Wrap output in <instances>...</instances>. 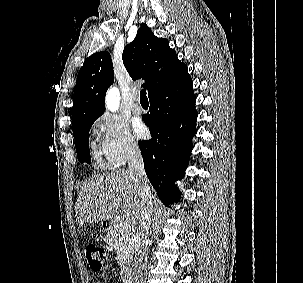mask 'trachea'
Here are the masks:
<instances>
[{
  "instance_id": "3493384b",
  "label": "trachea",
  "mask_w": 303,
  "mask_h": 283,
  "mask_svg": "<svg viewBox=\"0 0 303 283\" xmlns=\"http://www.w3.org/2000/svg\"><path fill=\"white\" fill-rule=\"evenodd\" d=\"M140 101H148L146 90L142 89L140 91Z\"/></svg>"
}]
</instances>
